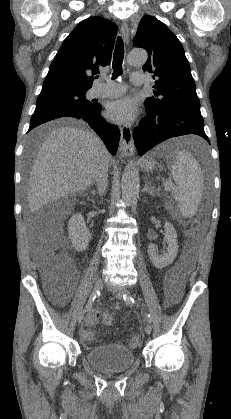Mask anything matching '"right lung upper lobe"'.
<instances>
[{"label": "right lung upper lobe", "mask_w": 231, "mask_h": 419, "mask_svg": "<svg viewBox=\"0 0 231 419\" xmlns=\"http://www.w3.org/2000/svg\"><path fill=\"white\" fill-rule=\"evenodd\" d=\"M117 26L101 17L81 21L52 61L43 87L65 85L88 90L93 76L111 61Z\"/></svg>", "instance_id": "cb5924a9"}]
</instances>
